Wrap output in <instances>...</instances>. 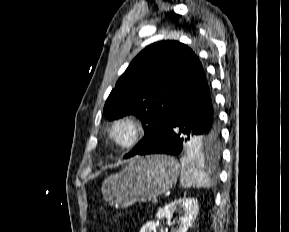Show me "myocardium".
Here are the masks:
<instances>
[{
	"instance_id": "1",
	"label": "myocardium",
	"mask_w": 289,
	"mask_h": 232,
	"mask_svg": "<svg viewBox=\"0 0 289 232\" xmlns=\"http://www.w3.org/2000/svg\"><path fill=\"white\" fill-rule=\"evenodd\" d=\"M121 126H128L131 129V135L126 141H120L117 139L115 133ZM146 125L138 117L134 115H123L116 118L109 129V137L117 146L121 148H131L139 144L146 135Z\"/></svg>"
}]
</instances>
